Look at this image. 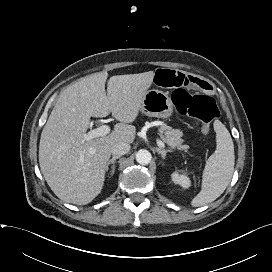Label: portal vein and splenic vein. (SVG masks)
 Instances as JSON below:
<instances>
[{"instance_id": "obj_1", "label": "portal vein and splenic vein", "mask_w": 272, "mask_h": 272, "mask_svg": "<svg viewBox=\"0 0 272 272\" xmlns=\"http://www.w3.org/2000/svg\"><path fill=\"white\" fill-rule=\"evenodd\" d=\"M109 132H110V127L108 125H101L100 127L96 129L88 131V133L85 134L84 136V141H89L94 138L106 136L107 134H109ZM157 144L161 148L165 146V144L159 139L157 140Z\"/></svg>"}]
</instances>
